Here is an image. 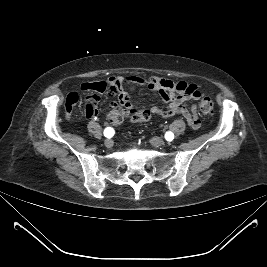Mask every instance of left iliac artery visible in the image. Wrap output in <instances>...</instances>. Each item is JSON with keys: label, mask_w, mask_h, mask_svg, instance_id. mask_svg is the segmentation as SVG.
<instances>
[{"label": "left iliac artery", "mask_w": 267, "mask_h": 267, "mask_svg": "<svg viewBox=\"0 0 267 267\" xmlns=\"http://www.w3.org/2000/svg\"><path fill=\"white\" fill-rule=\"evenodd\" d=\"M173 138H174V134H173L172 132H167V133L165 134V139H166L167 141H172Z\"/></svg>", "instance_id": "obj_1"}]
</instances>
